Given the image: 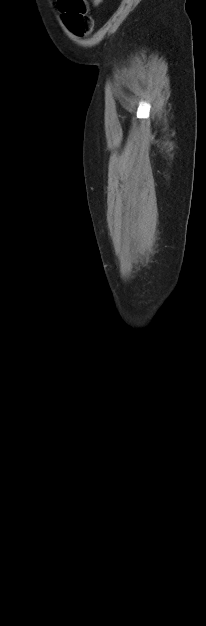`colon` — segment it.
<instances>
[{
  "label": "colon",
  "mask_w": 206,
  "mask_h": 626,
  "mask_svg": "<svg viewBox=\"0 0 206 626\" xmlns=\"http://www.w3.org/2000/svg\"><path fill=\"white\" fill-rule=\"evenodd\" d=\"M62 19L69 30L78 36L92 31L93 20L88 14L87 0H57Z\"/></svg>",
  "instance_id": "colon-1"
}]
</instances>
